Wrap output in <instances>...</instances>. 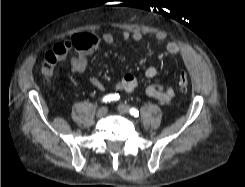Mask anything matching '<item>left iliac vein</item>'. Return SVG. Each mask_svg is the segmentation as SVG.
Masks as SVG:
<instances>
[{
  "label": "left iliac vein",
  "instance_id": "4c4485c4",
  "mask_svg": "<svg viewBox=\"0 0 245 187\" xmlns=\"http://www.w3.org/2000/svg\"><path fill=\"white\" fill-rule=\"evenodd\" d=\"M117 109L121 114H127L129 112V107L125 104H119Z\"/></svg>",
  "mask_w": 245,
  "mask_h": 187
}]
</instances>
